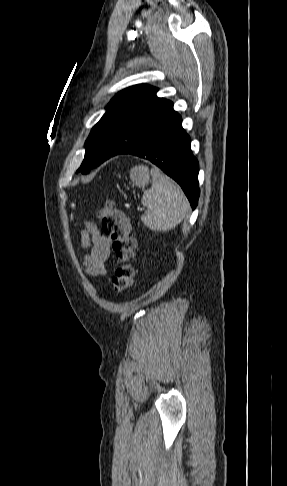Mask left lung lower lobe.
<instances>
[{"mask_svg": "<svg viewBox=\"0 0 287 486\" xmlns=\"http://www.w3.org/2000/svg\"><path fill=\"white\" fill-rule=\"evenodd\" d=\"M190 137L182 128L181 116L174 112L156 128L132 154L149 160L177 181L195 209L198 204L199 165L190 149Z\"/></svg>", "mask_w": 287, "mask_h": 486, "instance_id": "0a47b994", "label": "left lung lower lobe"}]
</instances>
